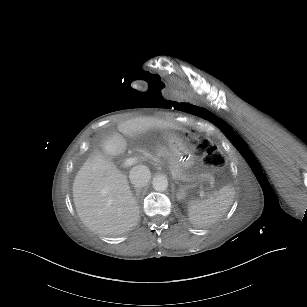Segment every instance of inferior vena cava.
I'll return each mask as SVG.
<instances>
[{
  "label": "inferior vena cava",
  "instance_id": "1",
  "mask_svg": "<svg viewBox=\"0 0 307 307\" xmlns=\"http://www.w3.org/2000/svg\"><path fill=\"white\" fill-rule=\"evenodd\" d=\"M131 184L138 188L142 189L149 183L151 179L150 170L143 165H138L133 167L129 174Z\"/></svg>",
  "mask_w": 307,
  "mask_h": 307
}]
</instances>
